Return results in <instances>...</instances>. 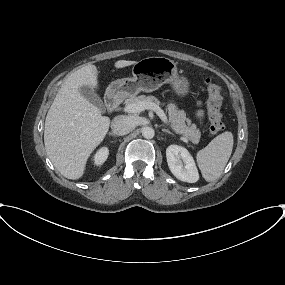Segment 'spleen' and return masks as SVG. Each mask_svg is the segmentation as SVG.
<instances>
[{
    "label": "spleen",
    "mask_w": 285,
    "mask_h": 285,
    "mask_svg": "<svg viewBox=\"0 0 285 285\" xmlns=\"http://www.w3.org/2000/svg\"><path fill=\"white\" fill-rule=\"evenodd\" d=\"M233 144V134L225 131L197 152V164L207 182H212L221 175L231 156Z\"/></svg>",
    "instance_id": "3e777b00"
}]
</instances>
